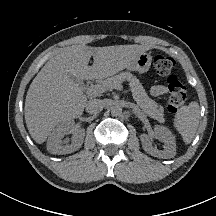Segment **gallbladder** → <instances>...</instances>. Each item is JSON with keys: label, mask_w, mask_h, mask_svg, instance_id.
<instances>
[{"label": "gallbladder", "mask_w": 216, "mask_h": 216, "mask_svg": "<svg viewBox=\"0 0 216 216\" xmlns=\"http://www.w3.org/2000/svg\"><path fill=\"white\" fill-rule=\"evenodd\" d=\"M71 77V79H73L74 81H76L77 79L75 78V77H73V76H70Z\"/></svg>", "instance_id": "gallbladder-1"}]
</instances>
